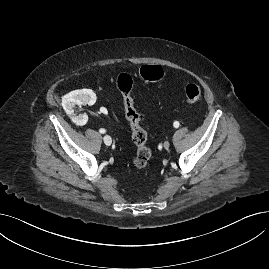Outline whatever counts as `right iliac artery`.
Wrapping results in <instances>:
<instances>
[{
	"mask_svg": "<svg viewBox=\"0 0 269 269\" xmlns=\"http://www.w3.org/2000/svg\"><path fill=\"white\" fill-rule=\"evenodd\" d=\"M99 132L102 133V134H104V133L106 132V130L103 129V128H101V129L99 130Z\"/></svg>",
	"mask_w": 269,
	"mask_h": 269,
	"instance_id": "1",
	"label": "right iliac artery"
}]
</instances>
